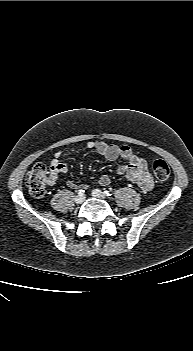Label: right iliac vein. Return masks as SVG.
<instances>
[{
  "label": "right iliac vein",
  "instance_id": "obj_1",
  "mask_svg": "<svg viewBox=\"0 0 193 351\" xmlns=\"http://www.w3.org/2000/svg\"><path fill=\"white\" fill-rule=\"evenodd\" d=\"M84 200H85V196L84 195H78L74 199L76 204H81V203L84 202Z\"/></svg>",
  "mask_w": 193,
  "mask_h": 351
}]
</instances>
